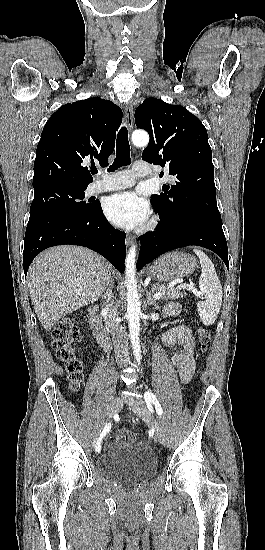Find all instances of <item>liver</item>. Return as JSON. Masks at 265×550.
I'll use <instances>...</instances> for the list:
<instances>
[{
	"label": "liver",
	"instance_id": "obj_1",
	"mask_svg": "<svg viewBox=\"0 0 265 550\" xmlns=\"http://www.w3.org/2000/svg\"><path fill=\"white\" fill-rule=\"evenodd\" d=\"M112 266L99 254L60 245L39 254L28 270V289L45 330L60 318L96 301L109 284Z\"/></svg>",
	"mask_w": 265,
	"mask_h": 550
}]
</instances>
